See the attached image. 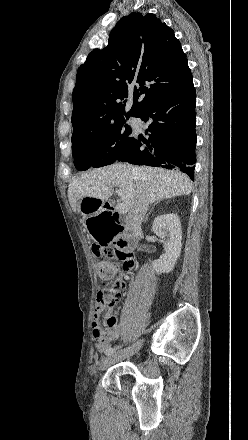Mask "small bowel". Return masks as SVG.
I'll list each match as a JSON object with an SVG mask.
<instances>
[{
  "label": "small bowel",
  "mask_w": 248,
  "mask_h": 440,
  "mask_svg": "<svg viewBox=\"0 0 248 440\" xmlns=\"http://www.w3.org/2000/svg\"><path fill=\"white\" fill-rule=\"evenodd\" d=\"M104 309L96 305L92 321V332L96 340V349L100 353L110 348L111 342L116 340L120 334V328L117 325V320L112 310L106 312L105 323L107 327L105 329L101 327L100 316Z\"/></svg>",
  "instance_id": "1"
}]
</instances>
